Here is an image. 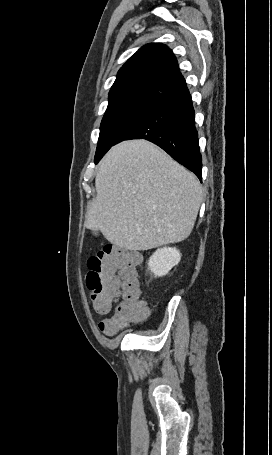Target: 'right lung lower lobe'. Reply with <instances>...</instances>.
<instances>
[{
	"label": "right lung lower lobe",
	"mask_w": 272,
	"mask_h": 455,
	"mask_svg": "<svg viewBox=\"0 0 272 455\" xmlns=\"http://www.w3.org/2000/svg\"><path fill=\"white\" fill-rule=\"evenodd\" d=\"M129 139L155 143L201 180L202 157L189 91L164 103L124 132L113 145Z\"/></svg>",
	"instance_id": "obj_1"
}]
</instances>
